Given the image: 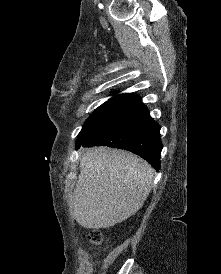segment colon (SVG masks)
<instances>
[{
    "mask_svg": "<svg viewBox=\"0 0 221 274\" xmlns=\"http://www.w3.org/2000/svg\"><path fill=\"white\" fill-rule=\"evenodd\" d=\"M89 240L95 245H101L104 243L105 237L99 230H92L89 233Z\"/></svg>",
    "mask_w": 221,
    "mask_h": 274,
    "instance_id": "5ec220e1",
    "label": "colon"
}]
</instances>
